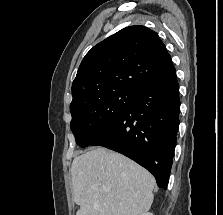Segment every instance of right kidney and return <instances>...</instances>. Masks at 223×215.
Here are the masks:
<instances>
[{
	"mask_svg": "<svg viewBox=\"0 0 223 215\" xmlns=\"http://www.w3.org/2000/svg\"><path fill=\"white\" fill-rule=\"evenodd\" d=\"M140 215H153V213H150V211H145V213H140Z\"/></svg>",
	"mask_w": 223,
	"mask_h": 215,
	"instance_id": "right-kidney-1",
	"label": "right kidney"
}]
</instances>
